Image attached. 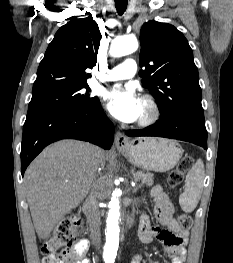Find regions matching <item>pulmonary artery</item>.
<instances>
[{
  "label": "pulmonary artery",
  "instance_id": "obj_1",
  "mask_svg": "<svg viewBox=\"0 0 233 263\" xmlns=\"http://www.w3.org/2000/svg\"><path fill=\"white\" fill-rule=\"evenodd\" d=\"M136 71L137 64L135 60L132 58H127L121 64L115 66L112 69H109L104 76V80L117 81L129 79L136 74Z\"/></svg>",
  "mask_w": 233,
  "mask_h": 263
}]
</instances>
